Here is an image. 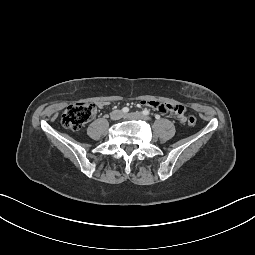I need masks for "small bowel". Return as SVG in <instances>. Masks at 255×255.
<instances>
[{
    "mask_svg": "<svg viewBox=\"0 0 255 255\" xmlns=\"http://www.w3.org/2000/svg\"><path fill=\"white\" fill-rule=\"evenodd\" d=\"M143 105L151 107L163 114L172 113L173 119L179 125H184L187 123L188 119L191 117V110L188 107H183L175 104L163 103L155 100H144L141 102ZM106 102L101 101L98 103L99 107L106 106Z\"/></svg>",
    "mask_w": 255,
    "mask_h": 255,
    "instance_id": "1",
    "label": "small bowel"
}]
</instances>
